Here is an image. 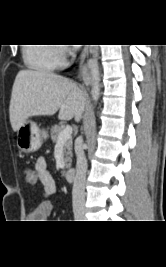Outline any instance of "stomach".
I'll return each instance as SVG.
<instances>
[{"instance_id":"obj_1","label":"stomach","mask_w":166,"mask_h":267,"mask_svg":"<svg viewBox=\"0 0 166 267\" xmlns=\"http://www.w3.org/2000/svg\"><path fill=\"white\" fill-rule=\"evenodd\" d=\"M46 138V132L41 131L35 122L25 121L17 131V146L24 153H32L41 147Z\"/></svg>"}]
</instances>
